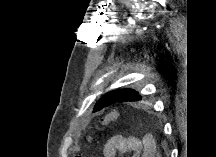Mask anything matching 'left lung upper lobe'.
I'll list each match as a JSON object with an SVG mask.
<instances>
[{
    "instance_id": "1",
    "label": "left lung upper lobe",
    "mask_w": 216,
    "mask_h": 157,
    "mask_svg": "<svg viewBox=\"0 0 216 157\" xmlns=\"http://www.w3.org/2000/svg\"><path fill=\"white\" fill-rule=\"evenodd\" d=\"M142 100V96L134 89H117L113 90L106 95H104L101 99L98 100L94 107V111H99L104 107L121 103V102H135ZM97 109V110H96Z\"/></svg>"
}]
</instances>
